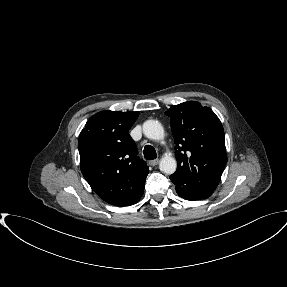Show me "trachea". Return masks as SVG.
<instances>
[{"label":"trachea","instance_id":"3493384b","mask_svg":"<svg viewBox=\"0 0 287 287\" xmlns=\"http://www.w3.org/2000/svg\"><path fill=\"white\" fill-rule=\"evenodd\" d=\"M143 153H144V158L147 160H152L157 157L156 151L154 147H152L151 145H146L144 147Z\"/></svg>","mask_w":287,"mask_h":287}]
</instances>
